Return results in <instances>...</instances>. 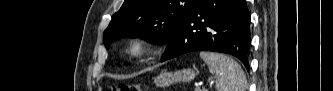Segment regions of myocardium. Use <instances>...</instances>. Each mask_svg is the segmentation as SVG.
I'll list each match as a JSON object with an SVG mask.
<instances>
[{"mask_svg": "<svg viewBox=\"0 0 333 91\" xmlns=\"http://www.w3.org/2000/svg\"><path fill=\"white\" fill-rule=\"evenodd\" d=\"M158 50L156 42L146 35H134L130 37L124 46L126 57L133 61H140L156 54Z\"/></svg>", "mask_w": 333, "mask_h": 91, "instance_id": "myocardium-1", "label": "myocardium"}]
</instances>
